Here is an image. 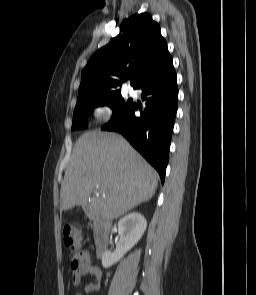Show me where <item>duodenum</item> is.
I'll list each match as a JSON object with an SVG mask.
<instances>
[{"instance_id":"duodenum-1","label":"duodenum","mask_w":256,"mask_h":295,"mask_svg":"<svg viewBox=\"0 0 256 295\" xmlns=\"http://www.w3.org/2000/svg\"><path fill=\"white\" fill-rule=\"evenodd\" d=\"M85 210L90 219L94 222V242L96 250L102 254L109 243L110 224L106 217L97 213L94 206L87 204Z\"/></svg>"}]
</instances>
